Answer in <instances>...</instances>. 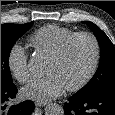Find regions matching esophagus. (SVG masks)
<instances>
[{"label":"esophagus","mask_w":115,"mask_h":115,"mask_svg":"<svg viewBox=\"0 0 115 115\" xmlns=\"http://www.w3.org/2000/svg\"><path fill=\"white\" fill-rule=\"evenodd\" d=\"M35 105H36L37 107H42V106H45V105H46V102H38V101H36V102H35Z\"/></svg>","instance_id":"1"}]
</instances>
